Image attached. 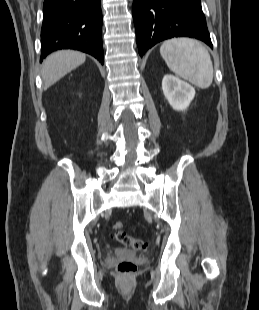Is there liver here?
I'll return each mask as SVG.
<instances>
[{"instance_id": "6515ba94", "label": "liver", "mask_w": 259, "mask_h": 310, "mask_svg": "<svg viewBox=\"0 0 259 310\" xmlns=\"http://www.w3.org/2000/svg\"><path fill=\"white\" fill-rule=\"evenodd\" d=\"M86 60L85 54L72 51L61 50L49 55L42 65V79L46 88L52 86L66 74L82 65Z\"/></svg>"}]
</instances>
